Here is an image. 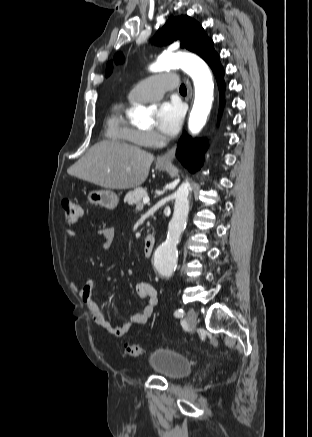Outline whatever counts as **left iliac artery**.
Segmentation results:
<instances>
[{
	"label": "left iliac artery",
	"mask_w": 312,
	"mask_h": 437,
	"mask_svg": "<svg viewBox=\"0 0 312 437\" xmlns=\"http://www.w3.org/2000/svg\"><path fill=\"white\" fill-rule=\"evenodd\" d=\"M184 310L183 309H178V310H176L175 312H174V316L175 317H178V318H180V317H183L184 316Z\"/></svg>",
	"instance_id": "left-iliac-artery-1"
}]
</instances>
